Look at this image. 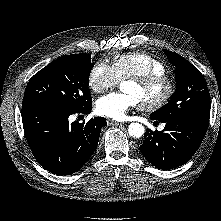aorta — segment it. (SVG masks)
I'll list each match as a JSON object with an SVG mask.
<instances>
[{
  "instance_id": "aorta-1",
  "label": "aorta",
  "mask_w": 221,
  "mask_h": 221,
  "mask_svg": "<svg viewBox=\"0 0 221 221\" xmlns=\"http://www.w3.org/2000/svg\"><path fill=\"white\" fill-rule=\"evenodd\" d=\"M145 132L144 126L140 123H131L128 127V133L134 138H140Z\"/></svg>"
}]
</instances>
